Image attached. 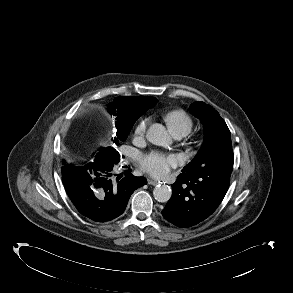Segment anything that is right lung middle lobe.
<instances>
[{
    "label": "right lung middle lobe",
    "mask_w": 293,
    "mask_h": 293,
    "mask_svg": "<svg viewBox=\"0 0 293 293\" xmlns=\"http://www.w3.org/2000/svg\"><path fill=\"white\" fill-rule=\"evenodd\" d=\"M133 124L134 122H131L117 127V134L113 141L116 145L119 144L120 140L124 141L128 137L129 131L131 130ZM105 153L106 157L112 161H118L120 159L119 153L115 151L113 147L106 148Z\"/></svg>",
    "instance_id": "dd1d6c3e"
}]
</instances>
